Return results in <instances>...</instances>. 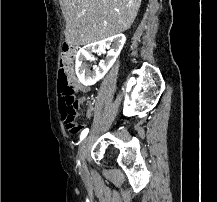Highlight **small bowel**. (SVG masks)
Wrapping results in <instances>:
<instances>
[{"instance_id":"small-bowel-1","label":"small bowel","mask_w":217,"mask_h":202,"mask_svg":"<svg viewBox=\"0 0 217 202\" xmlns=\"http://www.w3.org/2000/svg\"><path fill=\"white\" fill-rule=\"evenodd\" d=\"M71 78L74 80V82H75V87L77 88V89H82V86L77 82V80H76V77H75V75L74 74H72V76H71ZM93 112H94V110H93V105H92V103H89V105H88V108H87V111H86V116L88 117V118H91L92 116H93ZM81 127H83V125H80Z\"/></svg>"}]
</instances>
